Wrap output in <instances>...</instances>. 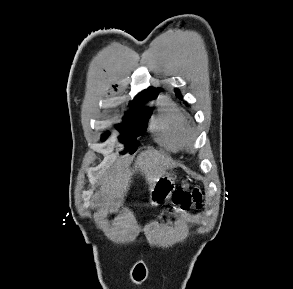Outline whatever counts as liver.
<instances>
[{
  "label": "liver",
  "mask_w": 293,
  "mask_h": 289,
  "mask_svg": "<svg viewBox=\"0 0 293 289\" xmlns=\"http://www.w3.org/2000/svg\"><path fill=\"white\" fill-rule=\"evenodd\" d=\"M171 166H175V163L158 152H142L137 157L133 170H126L121 163H117L112 172L102 178L100 190L95 196L107 200L123 198L129 189L133 174L138 171L145 176L149 189L152 190L159 178L165 175L166 168Z\"/></svg>",
  "instance_id": "1"
}]
</instances>
